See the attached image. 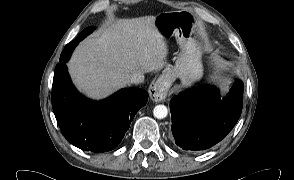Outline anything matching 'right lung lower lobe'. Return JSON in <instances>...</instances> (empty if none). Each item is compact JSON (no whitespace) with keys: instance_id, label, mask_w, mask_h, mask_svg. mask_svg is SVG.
Here are the masks:
<instances>
[{"instance_id":"right-lung-lower-lobe-1","label":"right lung lower lobe","mask_w":294,"mask_h":180,"mask_svg":"<svg viewBox=\"0 0 294 180\" xmlns=\"http://www.w3.org/2000/svg\"><path fill=\"white\" fill-rule=\"evenodd\" d=\"M82 39L67 44L56 65L52 107L64 137L74 146L92 152L114 149L123 139L137 111L147 103L144 89H122L108 99L92 101L77 92L66 62Z\"/></svg>"}]
</instances>
